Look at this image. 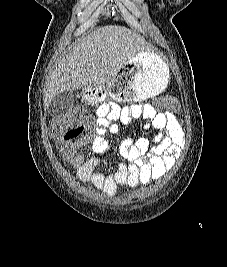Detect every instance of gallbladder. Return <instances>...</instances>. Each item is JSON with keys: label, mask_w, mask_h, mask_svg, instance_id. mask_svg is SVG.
I'll return each mask as SVG.
<instances>
[{"label": "gallbladder", "mask_w": 227, "mask_h": 267, "mask_svg": "<svg viewBox=\"0 0 227 267\" xmlns=\"http://www.w3.org/2000/svg\"><path fill=\"white\" fill-rule=\"evenodd\" d=\"M73 105V91H64L53 98L49 105L48 112L53 117L61 116L70 110Z\"/></svg>", "instance_id": "gallbladder-1"}]
</instances>
